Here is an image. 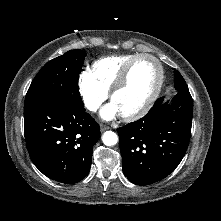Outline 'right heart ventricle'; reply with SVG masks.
Returning a JSON list of instances; mask_svg holds the SVG:
<instances>
[{
    "label": "right heart ventricle",
    "mask_w": 221,
    "mask_h": 221,
    "mask_svg": "<svg viewBox=\"0 0 221 221\" xmlns=\"http://www.w3.org/2000/svg\"><path fill=\"white\" fill-rule=\"evenodd\" d=\"M139 54H120L100 58L91 67V74L95 81L109 92L123 67Z\"/></svg>",
    "instance_id": "1"
}]
</instances>
